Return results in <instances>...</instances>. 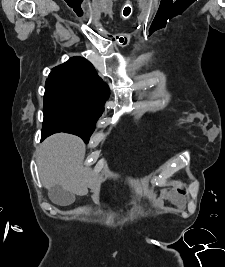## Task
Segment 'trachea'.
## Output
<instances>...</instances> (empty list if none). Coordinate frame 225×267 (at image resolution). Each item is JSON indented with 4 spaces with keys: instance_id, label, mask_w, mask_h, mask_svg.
<instances>
[{
    "instance_id": "obj_1",
    "label": "trachea",
    "mask_w": 225,
    "mask_h": 267,
    "mask_svg": "<svg viewBox=\"0 0 225 267\" xmlns=\"http://www.w3.org/2000/svg\"><path fill=\"white\" fill-rule=\"evenodd\" d=\"M125 12H126V8H124L123 14H124V16H128L129 14H125Z\"/></svg>"
}]
</instances>
